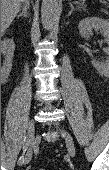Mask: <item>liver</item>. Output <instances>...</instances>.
<instances>
[{"label":"liver","mask_w":109,"mask_h":170,"mask_svg":"<svg viewBox=\"0 0 109 170\" xmlns=\"http://www.w3.org/2000/svg\"><path fill=\"white\" fill-rule=\"evenodd\" d=\"M23 0H1V30L4 32L20 10Z\"/></svg>","instance_id":"liver-1"}]
</instances>
